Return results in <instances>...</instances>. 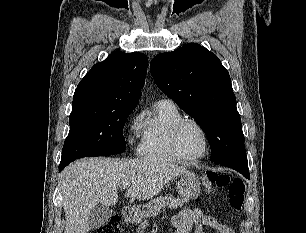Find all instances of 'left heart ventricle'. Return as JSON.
Listing matches in <instances>:
<instances>
[{"instance_id":"1","label":"left heart ventricle","mask_w":306,"mask_h":233,"mask_svg":"<svg viewBox=\"0 0 306 233\" xmlns=\"http://www.w3.org/2000/svg\"><path fill=\"white\" fill-rule=\"evenodd\" d=\"M179 147L187 157H197L204 151V138L193 124L185 125L179 135Z\"/></svg>"}]
</instances>
